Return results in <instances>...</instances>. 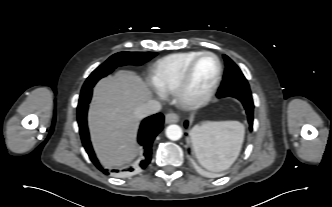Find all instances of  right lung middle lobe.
<instances>
[{
	"label": "right lung middle lobe",
	"mask_w": 332,
	"mask_h": 207,
	"mask_svg": "<svg viewBox=\"0 0 332 207\" xmlns=\"http://www.w3.org/2000/svg\"><path fill=\"white\" fill-rule=\"evenodd\" d=\"M155 52H119L96 68L85 81L82 91L92 89L96 82L122 65H141L156 56Z\"/></svg>",
	"instance_id": "obj_1"
}]
</instances>
